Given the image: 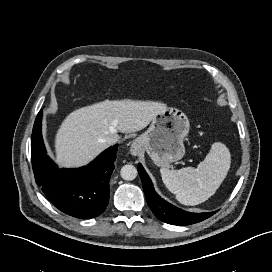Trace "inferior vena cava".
Returning <instances> with one entry per match:
<instances>
[{"label": "inferior vena cava", "mask_w": 272, "mask_h": 272, "mask_svg": "<svg viewBox=\"0 0 272 272\" xmlns=\"http://www.w3.org/2000/svg\"><path fill=\"white\" fill-rule=\"evenodd\" d=\"M119 140V135L116 133H112L106 137L105 142L109 145L115 144Z\"/></svg>", "instance_id": "obj_1"}]
</instances>
